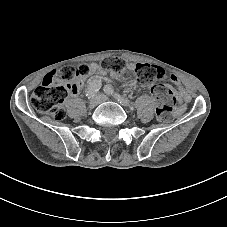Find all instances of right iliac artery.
<instances>
[{"label": "right iliac artery", "instance_id": "right-iliac-artery-1", "mask_svg": "<svg viewBox=\"0 0 227 227\" xmlns=\"http://www.w3.org/2000/svg\"><path fill=\"white\" fill-rule=\"evenodd\" d=\"M100 88H101L100 81H93L92 83H90V85L85 91V94L88 97V99L93 98Z\"/></svg>", "mask_w": 227, "mask_h": 227}]
</instances>
